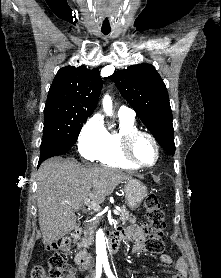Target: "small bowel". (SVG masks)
<instances>
[{"label":"small bowel","mask_w":221,"mask_h":278,"mask_svg":"<svg viewBox=\"0 0 221 278\" xmlns=\"http://www.w3.org/2000/svg\"><path fill=\"white\" fill-rule=\"evenodd\" d=\"M147 229L143 225H132L125 229L124 235L134 242L133 252L135 254H142L145 252V237ZM159 262L163 266H169L172 263V259L167 254H161L159 257ZM79 269L76 267H71L65 278H76ZM186 263L180 258L176 263V272L171 278H186ZM146 278H154L152 276Z\"/></svg>","instance_id":"obj_1"}]
</instances>
